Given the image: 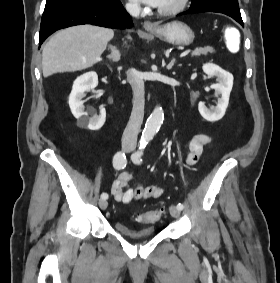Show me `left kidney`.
I'll return each instance as SVG.
<instances>
[{"label": "left kidney", "mask_w": 280, "mask_h": 283, "mask_svg": "<svg viewBox=\"0 0 280 283\" xmlns=\"http://www.w3.org/2000/svg\"><path fill=\"white\" fill-rule=\"evenodd\" d=\"M202 69L209 77L217 78L218 83L211 85V88L215 90L216 96L220 97L216 107L208 108L203 102H199L198 110L204 119L215 122L224 116L228 107L230 92L233 87V75L212 63L204 64Z\"/></svg>", "instance_id": "5707ae66"}]
</instances>
